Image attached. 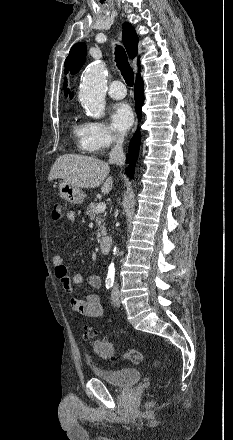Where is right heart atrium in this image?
<instances>
[{"label":"right heart atrium","instance_id":"d8ad5b80","mask_svg":"<svg viewBox=\"0 0 233 440\" xmlns=\"http://www.w3.org/2000/svg\"><path fill=\"white\" fill-rule=\"evenodd\" d=\"M85 127L87 144L92 153H102L122 141V136L102 121H88Z\"/></svg>","mask_w":233,"mask_h":440}]
</instances>
